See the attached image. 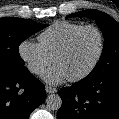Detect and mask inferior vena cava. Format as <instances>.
I'll use <instances>...</instances> for the list:
<instances>
[{"label": "inferior vena cava", "mask_w": 119, "mask_h": 119, "mask_svg": "<svg viewBox=\"0 0 119 119\" xmlns=\"http://www.w3.org/2000/svg\"><path fill=\"white\" fill-rule=\"evenodd\" d=\"M39 70H40L39 67H31V68H30V71L33 72V73H38Z\"/></svg>", "instance_id": "1"}]
</instances>
